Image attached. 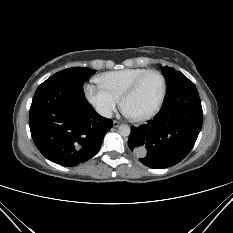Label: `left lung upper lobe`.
Masks as SVG:
<instances>
[{
	"label": "left lung upper lobe",
	"instance_id": "1",
	"mask_svg": "<svg viewBox=\"0 0 233 233\" xmlns=\"http://www.w3.org/2000/svg\"><path fill=\"white\" fill-rule=\"evenodd\" d=\"M162 73L166 79L167 87H168L172 83L174 76L178 72H175L174 68L165 66L162 68Z\"/></svg>",
	"mask_w": 233,
	"mask_h": 233
}]
</instances>
